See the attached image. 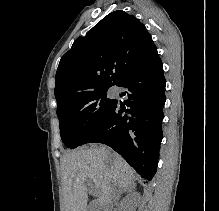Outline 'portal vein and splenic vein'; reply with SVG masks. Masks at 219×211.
Here are the masks:
<instances>
[{
    "mask_svg": "<svg viewBox=\"0 0 219 211\" xmlns=\"http://www.w3.org/2000/svg\"><path fill=\"white\" fill-rule=\"evenodd\" d=\"M97 191H98V187H94L93 193H95V195H97Z\"/></svg>",
    "mask_w": 219,
    "mask_h": 211,
    "instance_id": "18ae733b",
    "label": "portal vein and splenic vein"
}]
</instances>
